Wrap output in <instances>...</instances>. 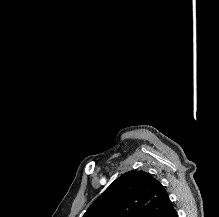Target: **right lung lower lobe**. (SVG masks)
<instances>
[{
  "label": "right lung lower lobe",
  "mask_w": 219,
  "mask_h": 217,
  "mask_svg": "<svg viewBox=\"0 0 219 217\" xmlns=\"http://www.w3.org/2000/svg\"><path fill=\"white\" fill-rule=\"evenodd\" d=\"M167 217H178V214H177L176 210L173 209V210L167 215Z\"/></svg>",
  "instance_id": "right-lung-lower-lobe-1"
}]
</instances>
